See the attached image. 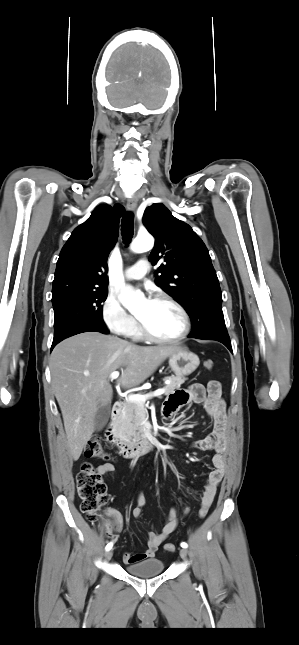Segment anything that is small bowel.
<instances>
[{
	"label": "small bowel",
	"instance_id": "1",
	"mask_svg": "<svg viewBox=\"0 0 299 645\" xmlns=\"http://www.w3.org/2000/svg\"><path fill=\"white\" fill-rule=\"evenodd\" d=\"M189 404H202L207 415L213 421V430L205 438L195 442V446L200 450H215L216 454L212 458L213 469L209 472L204 491L201 497L202 507L207 509L212 504L217 492V488L223 479L227 452H228V429L226 424L225 403L221 397V388L218 384L216 388L208 384L205 388L202 384L195 383L190 385L187 389L179 390L169 396L164 403L163 416L170 418L175 415L178 410ZM115 467L112 463L106 462L98 466L97 472L100 475L112 473ZM146 503L145 496L142 492L138 494L137 504L132 509L134 518L139 519L143 513V506ZM188 510H185L187 513ZM112 517L113 522L119 530L123 529V517L115 509L108 511ZM179 523L176 510L172 509L160 532L150 531L148 533L147 548L140 553L126 552L123 555L125 564H135L155 556L160 545L167 539V537L176 529Z\"/></svg>",
	"mask_w": 299,
	"mask_h": 645
}]
</instances>
